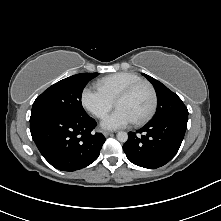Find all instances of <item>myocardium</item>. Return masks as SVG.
<instances>
[{
	"mask_svg": "<svg viewBox=\"0 0 221 221\" xmlns=\"http://www.w3.org/2000/svg\"><path fill=\"white\" fill-rule=\"evenodd\" d=\"M143 85H146L149 87L150 91H151V94H152V105H151V108L150 110L147 112V114L145 116H143L142 118L134 121V124L135 125H142L146 122H148L152 117L153 115L155 114L156 112V109H157V104H158V96H157V92H156V89L155 87L153 86L152 83H150L149 81H146V80H141V81H138V82H135L131 85H129L127 88H125L119 95L118 97L116 98L115 100V105L117 106V104L129 97L136 89H138L139 87L143 86Z\"/></svg>",
	"mask_w": 221,
	"mask_h": 221,
	"instance_id": "1",
	"label": "myocardium"
}]
</instances>
